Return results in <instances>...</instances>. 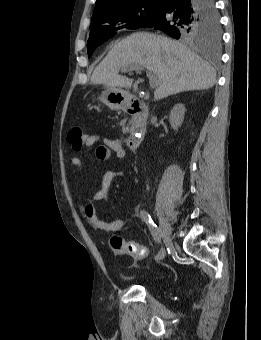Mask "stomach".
<instances>
[{"instance_id": "1", "label": "stomach", "mask_w": 261, "mask_h": 340, "mask_svg": "<svg viewBox=\"0 0 261 340\" xmlns=\"http://www.w3.org/2000/svg\"><path fill=\"white\" fill-rule=\"evenodd\" d=\"M128 96V93L121 88L105 87L97 100L112 110H120L126 106Z\"/></svg>"}]
</instances>
